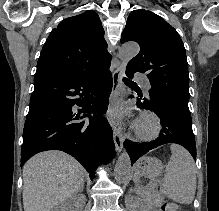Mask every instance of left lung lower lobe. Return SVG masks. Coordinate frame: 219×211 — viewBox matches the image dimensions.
I'll use <instances>...</instances> for the list:
<instances>
[{
	"instance_id": "1",
	"label": "left lung lower lobe",
	"mask_w": 219,
	"mask_h": 211,
	"mask_svg": "<svg viewBox=\"0 0 219 211\" xmlns=\"http://www.w3.org/2000/svg\"><path fill=\"white\" fill-rule=\"evenodd\" d=\"M126 74L129 78L133 77L132 73L126 72ZM131 98L137 100L136 105L139 108L154 111L160 118L162 126L158 138L152 142L134 143L133 141H125L124 145L132 164L148 151L168 143L182 145L196 159V145L190 111L171 103L145 98L140 93H138V96L131 95Z\"/></svg>"
}]
</instances>
